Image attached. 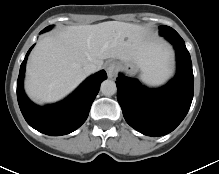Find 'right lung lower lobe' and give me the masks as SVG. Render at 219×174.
Segmentation results:
<instances>
[{"label": "right lung lower lobe", "instance_id": "1", "mask_svg": "<svg viewBox=\"0 0 219 174\" xmlns=\"http://www.w3.org/2000/svg\"><path fill=\"white\" fill-rule=\"evenodd\" d=\"M20 66L17 81V99L27 123L37 131L51 136L66 135L79 128L87 119L100 84L107 78L104 70L87 78L68 98L62 102L39 107L32 103L23 90V78L28 54Z\"/></svg>", "mask_w": 219, "mask_h": 174}]
</instances>
